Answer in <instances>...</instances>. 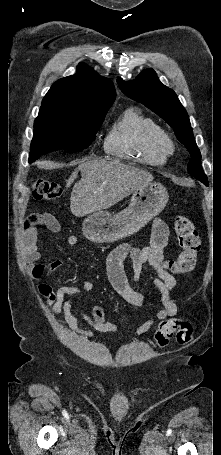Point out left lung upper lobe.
<instances>
[{
  "mask_svg": "<svg viewBox=\"0 0 221 455\" xmlns=\"http://www.w3.org/2000/svg\"><path fill=\"white\" fill-rule=\"evenodd\" d=\"M117 83L126 96L144 104L173 127L176 137L186 146L192 157L187 170L192 176L207 184L189 117L175 92L160 82L153 69H146L133 81L126 82L118 78Z\"/></svg>",
  "mask_w": 221,
  "mask_h": 455,
  "instance_id": "obj_1",
  "label": "left lung upper lobe"
}]
</instances>
